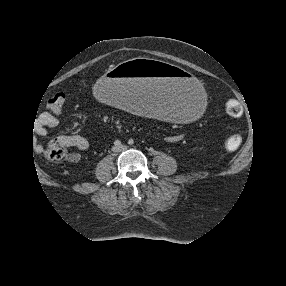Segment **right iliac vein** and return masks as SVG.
<instances>
[{"instance_id": "obj_1", "label": "right iliac vein", "mask_w": 286, "mask_h": 286, "mask_svg": "<svg viewBox=\"0 0 286 286\" xmlns=\"http://www.w3.org/2000/svg\"><path fill=\"white\" fill-rule=\"evenodd\" d=\"M114 152H118L119 151V149L117 148V147H113V149H112Z\"/></svg>"}]
</instances>
